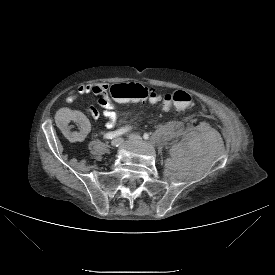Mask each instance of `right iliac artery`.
<instances>
[{
    "mask_svg": "<svg viewBox=\"0 0 275 275\" xmlns=\"http://www.w3.org/2000/svg\"><path fill=\"white\" fill-rule=\"evenodd\" d=\"M128 130H129L128 127L121 128V129H119V130H116V131H112V132L106 133V134L104 135V137H105L106 139H113V138H115V137H117V136H120V135L124 134V133L127 132Z\"/></svg>",
    "mask_w": 275,
    "mask_h": 275,
    "instance_id": "1",
    "label": "right iliac artery"
}]
</instances>
